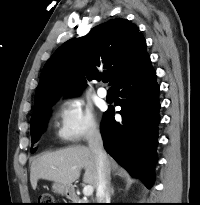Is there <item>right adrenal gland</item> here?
<instances>
[{
  "label": "right adrenal gland",
  "instance_id": "obj_1",
  "mask_svg": "<svg viewBox=\"0 0 200 205\" xmlns=\"http://www.w3.org/2000/svg\"><path fill=\"white\" fill-rule=\"evenodd\" d=\"M110 192H111L112 195L114 194L113 186L110 187Z\"/></svg>",
  "mask_w": 200,
  "mask_h": 205
}]
</instances>
